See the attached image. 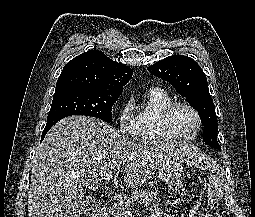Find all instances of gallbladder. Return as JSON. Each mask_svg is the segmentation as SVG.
I'll return each mask as SVG.
<instances>
[{
  "label": "gallbladder",
  "mask_w": 255,
  "mask_h": 217,
  "mask_svg": "<svg viewBox=\"0 0 255 217\" xmlns=\"http://www.w3.org/2000/svg\"><path fill=\"white\" fill-rule=\"evenodd\" d=\"M87 202L89 203V204H91L92 206H94V205H96V199L95 198H92V197H89V198H87Z\"/></svg>",
  "instance_id": "1"
}]
</instances>
